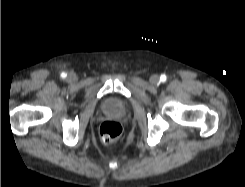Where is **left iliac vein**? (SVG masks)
Instances as JSON below:
<instances>
[{
  "label": "left iliac vein",
  "instance_id": "obj_1",
  "mask_svg": "<svg viewBox=\"0 0 245 187\" xmlns=\"http://www.w3.org/2000/svg\"><path fill=\"white\" fill-rule=\"evenodd\" d=\"M159 81H160V79H159V76L158 75H152L150 77V82L153 85H157L159 83Z\"/></svg>",
  "mask_w": 245,
  "mask_h": 187
}]
</instances>
